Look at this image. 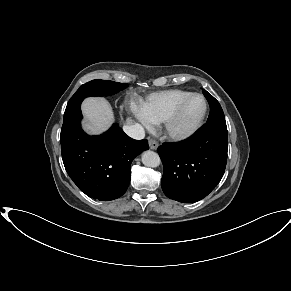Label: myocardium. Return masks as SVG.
Segmentation results:
<instances>
[{
    "instance_id": "f54148a6",
    "label": "myocardium",
    "mask_w": 291,
    "mask_h": 291,
    "mask_svg": "<svg viewBox=\"0 0 291 291\" xmlns=\"http://www.w3.org/2000/svg\"><path fill=\"white\" fill-rule=\"evenodd\" d=\"M194 97H199L203 101L204 107L201 116L199 117L197 122L190 128L185 130H177L176 123L178 119L180 118L183 110L185 109L189 101ZM207 113H208V103L206 98L202 94L191 93L174 109V111L163 122L164 123L163 133L165 137L172 141H184L191 138L202 128Z\"/></svg>"
}]
</instances>
